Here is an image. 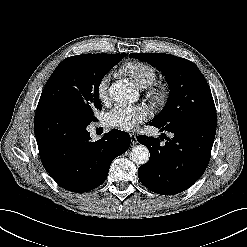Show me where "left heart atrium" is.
<instances>
[{"instance_id": "1", "label": "left heart atrium", "mask_w": 247, "mask_h": 247, "mask_svg": "<svg viewBox=\"0 0 247 247\" xmlns=\"http://www.w3.org/2000/svg\"><path fill=\"white\" fill-rule=\"evenodd\" d=\"M151 115L148 106H117L107 113L105 121L109 126L131 130Z\"/></svg>"}]
</instances>
